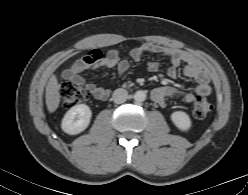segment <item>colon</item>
<instances>
[{"instance_id":"1","label":"colon","mask_w":248,"mask_h":195,"mask_svg":"<svg viewBox=\"0 0 248 195\" xmlns=\"http://www.w3.org/2000/svg\"><path fill=\"white\" fill-rule=\"evenodd\" d=\"M60 95L67 107H73L85 100L88 96L87 89L81 84L63 81L60 85ZM213 109L212 103L205 97L199 96L194 103L193 113L196 118H205Z\"/></svg>"}]
</instances>
